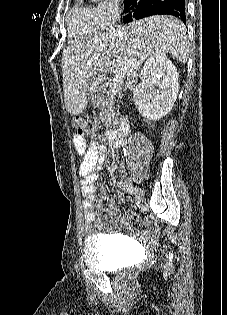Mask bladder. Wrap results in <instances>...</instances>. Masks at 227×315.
<instances>
[{
    "label": "bladder",
    "instance_id": "31cf9c89",
    "mask_svg": "<svg viewBox=\"0 0 227 315\" xmlns=\"http://www.w3.org/2000/svg\"><path fill=\"white\" fill-rule=\"evenodd\" d=\"M132 242L116 235L90 236L84 243V261L89 267L98 270H116L127 267Z\"/></svg>",
    "mask_w": 227,
    "mask_h": 315
}]
</instances>
